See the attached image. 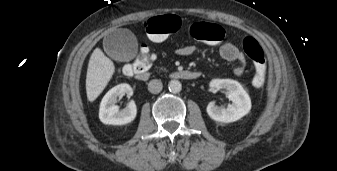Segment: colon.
Listing matches in <instances>:
<instances>
[{
	"label": "colon",
	"instance_id": "5ec220e1",
	"mask_svg": "<svg viewBox=\"0 0 337 171\" xmlns=\"http://www.w3.org/2000/svg\"><path fill=\"white\" fill-rule=\"evenodd\" d=\"M181 26V20L176 15H164L149 18L145 22L147 36L153 41H162L168 35L175 33ZM190 35L205 45L217 44L224 38V30L221 26L212 23L194 22L190 27ZM243 50L252 61L254 77L252 83L256 87L264 84L266 77L265 53L256 39L246 37L242 43ZM152 45L143 43L140 48L137 61L134 64H126L121 71L124 74H132L134 69H147L149 65L157 62V55L152 53Z\"/></svg>",
	"mask_w": 337,
	"mask_h": 171
}]
</instances>
